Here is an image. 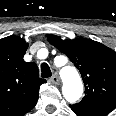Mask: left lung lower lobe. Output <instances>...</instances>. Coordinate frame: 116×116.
<instances>
[{
    "label": "left lung lower lobe",
    "mask_w": 116,
    "mask_h": 116,
    "mask_svg": "<svg viewBox=\"0 0 116 116\" xmlns=\"http://www.w3.org/2000/svg\"><path fill=\"white\" fill-rule=\"evenodd\" d=\"M70 108L78 115V116H105L110 111L98 109V108H81L74 105H70Z\"/></svg>",
    "instance_id": "obj_1"
}]
</instances>
